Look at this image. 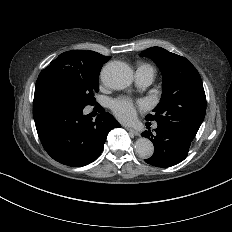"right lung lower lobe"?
<instances>
[{
    "instance_id": "98d812e1",
    "label": "right lung lower lobe",
    "mask_w": 232,
    "mask_h": 232,
    "mask_svg": "<svg viewBox=\"0 0 232 232\" xmlns=\"http://www.w3.org/2000/svg\"><path fill=\"white\" fill-rule=\"evenodd\" d=\"M84 107L50 85H36L33 118L40 141L56 161L71 167L85 166L102 152L108 133L120 124L100 111L96 120Z\"/></svg>"
}]
</instances>
